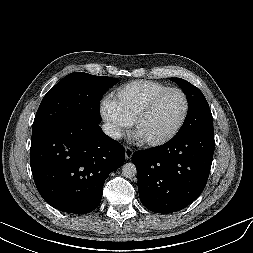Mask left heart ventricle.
Returning a JSON list of instances; mask_svg holds the SVG:
<instances>
[{
	"label": "left heart ventricle",
	"instance_id": "obj_1",
	"mask_svg": "<svg viewBox=\"0 0 253 253\" xmlns=\"http://www.w3.org/2000/svg\"><path fill=\"white\" fill-rule=\"evenodd\" d=\"M184 110V100L180 93L164 95L138 129L142 140L155 139L167 135L178 124Z\"/></svg>",
	"mask_w": 253,
	"mask_h": 253
}]
</instances>
